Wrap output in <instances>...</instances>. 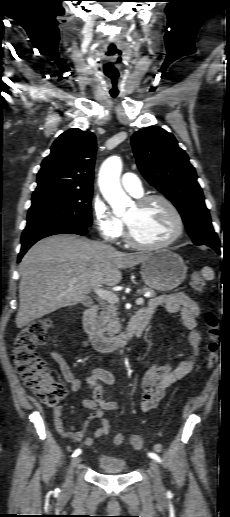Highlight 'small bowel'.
I'll use <instances>...</instances> for the list:
<instances>
[{"mask_svg": "<svg viewBox=\"0 0 230 517\" xmlns=\"http://www.w3.org/2000/svg\"><path fill=\"white\" fill-rule=\"evenodd\" d=\"M165 306L172 314H178L186 329L189 331L188 342L190 353L172 369L170 365L152 364L142 378V397L140 409L146 413L155 409L164 398L167 388L183 379L192 370L199 352L201 333L197 330L198 318L200 315L197 303L188 295L177 292L162 295L150 300L145 309L153 312L159 306ZM52 359L57 363L64 380L70 385L72 391L76 392L81 388V382L74 376L65 358L58 352H52ZM115 376L104 368H94L86 378L85 384L90 392L81 400V404L90 410V415L81 428L72 424L66 425L62 419V407L57 406L53 410L54 425L57 432L64 438L80 442L84 446H91L95 439L108 434L110 424L106 419H102L106 411L117 410V402L108 400L104 397L102 384L115 385ZM94 419H101L100 426L94 431L92 436H86L85 430L89 423ZM115 437L120 440H114ZM131 438V437H130ZM125 437L118 433L113 437V443L120 445Z\"/></svg>", "mask_w": 230, "mask_h": 517, "instance_id": "obj_1", "label": "small bowel"}]
</instances>
